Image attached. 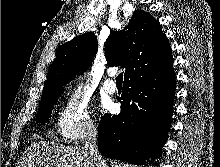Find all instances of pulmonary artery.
Instances as JSON below:
<instances>
[{
	"instance_id": "obj_1",
	"label": "pulmonary artery",
	"mask_w": 220,
	"mask_h": 167,
	"mask_svg": "<svg viewBox=\"0 0 220 167\" xmlns=\"http://www.w3.org/2000/svg\"><path fill=\"white\" fill-rule=\"evenodd\" d=\"M113 75H114L113 71H108L107 73L108 78L103 83V88L108 94H113L117 90L115 82L111 79Z\"/></svg>"
}]
</instances>
